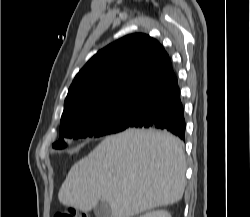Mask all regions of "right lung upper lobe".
<instances>
[{
    "label": "right lung upper lobe",
    "instance_id": "cb5924a9",
    "mask_svg": "<svg viewBox=\"0 0 250 217\" xmlns=\"http://www.w3.org/2000/svg\"><path fill=\"white\" fill-rule=\"evenodd\" d=\"M173 74L157 40L145 34L125 36L100 50L75 76L61 122L87 110L138 100Z\"/></svg>",
    "mask_w": 250,
    "mask_h": 217
}]
</instances>
